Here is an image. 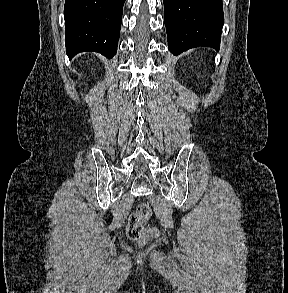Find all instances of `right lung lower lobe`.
I'll use <instances>...</instances> for the list:
<instances>
[{"label": "right lung lower lobe", "mask_w": 288, "mask_h": 293, "mask_svg": "<svg viewBox=\"0 0 288 293\" xmlns=\"http://www.w3.org/2000/svg\"><path fill=\"white\" fill-rule=\"evenodd\" d=\"M125 0H65V41L69 58L84 51L112 58L117 52Z\"/></svg>", "instance_id": "1"}]
</instances>
